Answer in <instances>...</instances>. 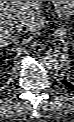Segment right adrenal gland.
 Wrapping results in <instances>:
<instances>
[{"mask_svg":"<svg viewBox=\"0 0 74 122\" xmlns=\"http://www.w3.org/2000/svg\"><path fill=\"white\" fill-rule=\"evenodd\" d=\"M18 36H19V34H18V33H16V34H15V39H13L12 41H10V43H9V44H11V43L16 44V43L18 42Z\"/></svg>","mask_w":74,"mask_h":122,"instance_id":"right-adrenal-gland-1","label":"right adrenal gland"}]
</instances>
